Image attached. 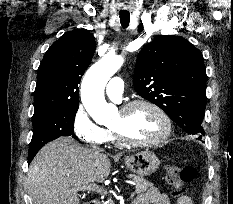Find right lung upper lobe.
Listing matches in <instances>:
<instances>
[{
  "instance_id": "1",
  "label": "right lung upper lobe",
  "mask_w": 233,
  "mask_h": 204,
  "mask_svg": "<svg viewBox=\"0 0 233 204\" xmlns=\"http://www.w3.org/2000/svg\"><path fill=\"white\" fill-rule=\"evenodd\" d=\"M95 47L94 36L84 29L69 31L50 46L38 68L34 112L79 105L78 84Z\"/></svg>"
}]
</instances>
